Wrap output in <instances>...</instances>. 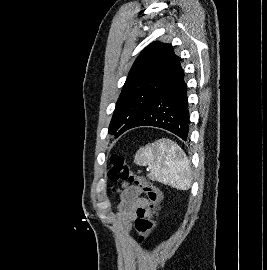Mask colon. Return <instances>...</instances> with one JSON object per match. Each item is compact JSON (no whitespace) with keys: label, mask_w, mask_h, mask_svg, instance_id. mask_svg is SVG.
Wrapping results in <instances>:
<instances>
[{"label":"colon","mask_w":267,"mask_h":270,"mask_svg":"<svg viewBox=\"0 0 267 270\" xmlns=\"http://www.w3.org/2000/svg\"><path fill=\"white\" fill-rule=\"evenodd\" d=\"M111 167L108 177L111 181H128L138 186L146 195L149 205L147 210H142L134 222V229L140 243L147 241L154 227V217L162 203V193L157 186L143 176L131 170L124 156L113 154L110 158Z\"/></svg>","instance_id":"1"}]
</instances>
